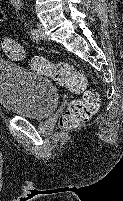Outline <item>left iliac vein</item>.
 Returning a JSON list of instances; mask_svg holds the SVG:
<instances>
[{
	"mask_svg": "<svg viewBox=\"0 0 123 201\" xmlns=\"http://www.w3.org/2000/svg\"><path fill=\"white\" fill-rule=\"evenodd\" d=\"M37 40L47 39L46 35L44 34V28L41 24L37 25Z\"/></svg>",
	"mask_w": 123,
	"mask_h": 201,
	"instance_id": "4c4485c4",
	"label": "left iliac vein"
}]
</instances>
